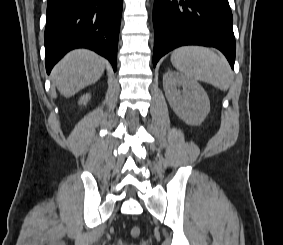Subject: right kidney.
<instances>
[{
  "mask_svg": "<svg viewBox=\"0 0 283 245\" xmlns=\"http://www.w3.org/2000/svg\"><path fill=\"white\" fill-rule=\"evenodd\" d=\"M91 96L90 94H86V95H83L80 99H79V104L80 105H86L87 102L90 100Z\"/></svg>",
  "mask_w": 283,
  "mask_h": 245,
  "instance_id": "obj_1",
  "label": "right kidney"
}]
</instances>
